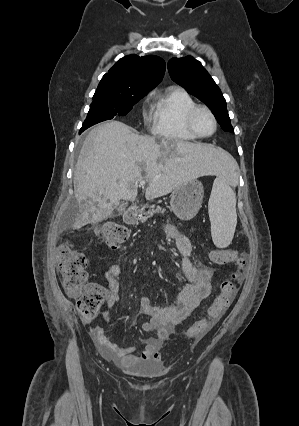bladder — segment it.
<instances>
[{"label": "bladder", "instance_id": "bladder-1", "mask_svg": "<svg viewBox=\"0 0 299 426\" xmlns=\"http://www.w3.org/2000/svg\"><path fill=\"white\" fill-rule=\"evenodd\" d=\"M126 372L130 375L143 378V379H154L161 377L165 370L162 365L142 363L132 367H126Z\"/></svg>", "mask_w": 299, "mask_h": 426}]
</instances>
